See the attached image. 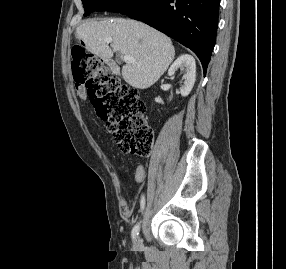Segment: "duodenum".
Here are the masks:
<instances>
[{
  "instance_id": "410a0bca",
  "label": "duodenum",
  "mask_w": 286,
  "mask_h": 269,
  "mask_svg": "<svg viewBox=\"0 0 286 269\" xmlns=\"http://www.w3.org/2000/svg\"><path fill=\"white\" fill-rule=\"evenodd\" d=\"M109 66L113 72H117V66L113 63H109Z\"/></svg>"
}]
</instances>
